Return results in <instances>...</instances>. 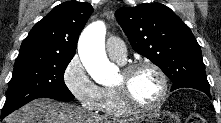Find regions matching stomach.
<instances>
[{"instance_id": "obj_1", "label": "stomach", "mask_w": 221, "mask_h": 123, "mask_svg": "<svg viewBox=\"0 0 221 123\" xmlns=\"http://www.w3.org/2000/svg\"><path fill=\"white\" fill-rule=\"evenodd\" d=\"M134 123H180V120L167 110H154L138 117Z\"/></svg>"}]
</instances>
